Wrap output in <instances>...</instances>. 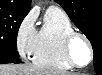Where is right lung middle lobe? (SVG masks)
I'll use <instances>...</instances> for the list:
<instances>
[{
	"label": "right lung middle lobe",
	"mask_w": 102,
	"mask_h": 75,
	"mask_svg": "<svg viewBox=\"0 0 102 75\" xmlns=\"http://www.w3.org/2000/svg\"><path fill=\"white\" fill-rule=\"evenodd\" d=\"M28 12L0 10V56L19 57L17 51V33L21 22Z\"/></svg>",
	"instance_id": "1"
}]
</instances>
